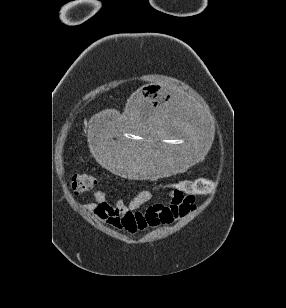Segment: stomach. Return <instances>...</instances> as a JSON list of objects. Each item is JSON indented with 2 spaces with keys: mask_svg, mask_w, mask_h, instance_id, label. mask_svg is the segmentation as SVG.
<instances>
[{
  "mask_svg": "<svg viewBox=\"0 0 286 308\" xmlns=\"http://www.w3.org/2000/svg\"><path fill=\"white\" fill-rule=\"evenodd\" d=\"M201 100L184 91H163L149 83L130 98L125 117L114 109H98L86 122L87 149L105 171L125 174L130 182L179 177L207 159L214 125L202 112Z\"/></svg>",
  "mask_w": 286,
  "mask_h": 308,
  "instance_id": "obj_1",
  "label": "stomach"
}]
</instances>
